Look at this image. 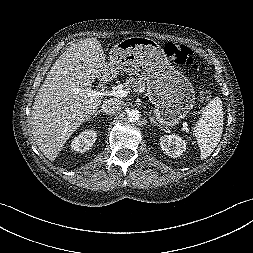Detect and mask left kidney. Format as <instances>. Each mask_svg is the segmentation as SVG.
<instances>
[{"label": "left kidney", "instance_id": "5707ae66", "mask_svg": "<svg viewBox=\"0 0 253 253\" xmlns=\"http://www.w3.org/2000/svg\"><path fill=\"white\" fill-rule=\"evenodd\" d=\"M160 146L168 156L174 158L181 156L186 150V142L175 134L161 136Z\"/></svg>", "mask_w": 253, "mask_h": 253}]
</instances>
